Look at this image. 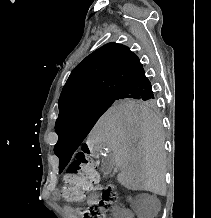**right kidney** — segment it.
I'll return each mask as SVG.
<instances>
[{
  "label": "right kidney",
  "instance_id": "ca27d5eb",
  "mask_svg": "<svg viewBox=\"0 0 211 218\" xmlns=\"http://www.w3.org/2000/svg\"><path fill=\"white\" fill-rule=\"evenodd\" d=\"M127 202H132V197H127ZM125 206L126 201H121V206H113L111 213L115 214V218H126L127 209Z\"/></svg>",
  "mask_w": 211,
  "mask_h": 218
}]
</instances>
